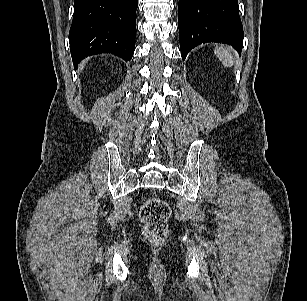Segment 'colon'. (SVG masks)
I'll list each match as a JSON object with an SVG mask.
<instances>
[{
	"instance_id": "5ec220e1",
	"label": "colon",
	"mask_w": 307,
	"mask_h": 301,
	"mask_svg": "<svg viewBox=\"0 0 307 301\" xmlns=\"http://www.w3.org/2000/svg\"><path fill=\"white\" fill-rule=\"evenodd\" d=\"M170 213L169 205L160 198H150L142 205L139 215L150 241L161 243L166 239Z\"/></svg>"
}]
</instances>
